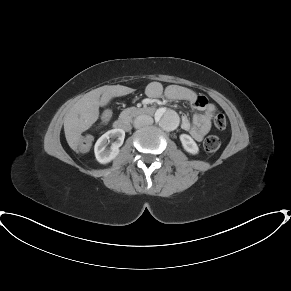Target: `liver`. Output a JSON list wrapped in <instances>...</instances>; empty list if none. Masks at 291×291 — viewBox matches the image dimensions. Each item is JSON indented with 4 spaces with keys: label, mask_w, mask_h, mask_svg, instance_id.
<instances>
[{
    "label": "liver",
    "mask_w": 291,
    "mask_h": 291,
    "mask_svg": "<svg viewBox=\"0 0 291 291\" xmlns=\"http://www.w3.org/2000/svg\"><path fill=\"white\" fill-rule=\"evenodd\" d=\"M133 91L134 89L121 85L103 86L79 99L64 117L65 137L69 146L77 151L81 134L97 121L100 106L107 105L114 97Z\"/></svg>",
    "instance_id": "liver-1"
}]
</instances>
